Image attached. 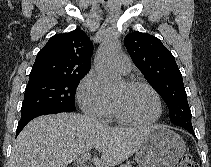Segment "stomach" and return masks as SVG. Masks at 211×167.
I'll use <instances>...</instances> for the list:
<instances>
[{"instance_id":"1","label":"stomach","mask_w":211,"mask_h":167,"mask_svg":"<svg viewBox=\"0 0 211 167\" xmlns=\"http://www.w3.org/2000/svg\"><path fill=\"white\" fill-rule=\"evenodd\" d=\"M185 150V142L179 135L155 126L136 151L135 159L138 167H175Z\"/></svg>"}]
</instances>
